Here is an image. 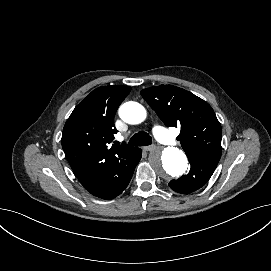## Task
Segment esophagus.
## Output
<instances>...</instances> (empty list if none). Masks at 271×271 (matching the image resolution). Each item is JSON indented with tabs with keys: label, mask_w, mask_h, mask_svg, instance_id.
<instances>
[{
	"label": "esophagus",
	"mask_w": 271,
	"mask_h": 271,
	"mask_svg": "<svg viewBox=\"0 0 271 271\" xmlns=\"http://www.w3.org/2000/svg\"><path fill=\"white\" fill-rule=\"evenodd\" d=\"M145 151H153L156 149L155 145H149L143 148Z\"/></svg>",
	"instance_id": "34e87169"
}]
</instances>
